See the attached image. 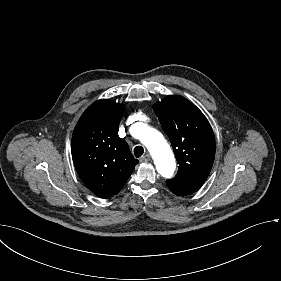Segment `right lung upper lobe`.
<instances>
[{
  "mask_svg": "<svg viewBox=\"0 0 281 281\" xmlns=\"http://www.w3.org/2000/svg\"><path fill=\"white\" fill-rule=\"evenodd\" d=\"M124 109L122 104L98 100L85 110L73 131L75 169L86 187L100 198L117 194L138 164L118 135Z\"/></svg>",
  "mask_w": 281,
  "mask_h": 281,
  "instance_id": "right-lung-upper-lobe-1",
  "label": "right lung upper lobe"
}]
</instances>
